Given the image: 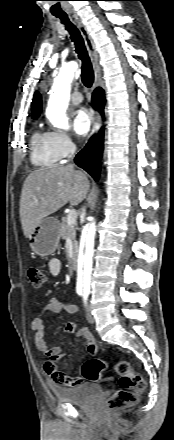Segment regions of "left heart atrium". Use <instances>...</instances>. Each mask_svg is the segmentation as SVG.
Here are the masks:
<instances>
[{
	"label": "left heart atrium",
	"mask_w": 174,
	"mask_h": 440,
	"mask_svg": "<svg viewBox=\"0 0 174 440\" xmlns=\"http://www.w3.org/2000/svg\"><path fill=\"white\" fill-rule=\"evenodd\" d=\"M92 118L90 112L80 108L73 115V130L77 136H85L91 127Z\"/></svg>",
	"instance_id": "1"
}]
</instances>
